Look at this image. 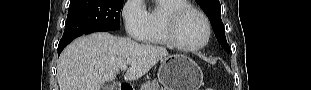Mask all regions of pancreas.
<instances>
[{"label":"pancreas","mask_w":311,"mask_h":90,"mask_svg":"<svg viewBox=\"0 0 311 90\" xmlns=\"http://www.w3.org/2000/svg\"><path fill=\"white\" fill-rule=\"evenodd\" d=\"M141 90H164L157 81L145 82L141 86Z\"/></svg>","instance_id":"pancreas-1"}]
</instances>
